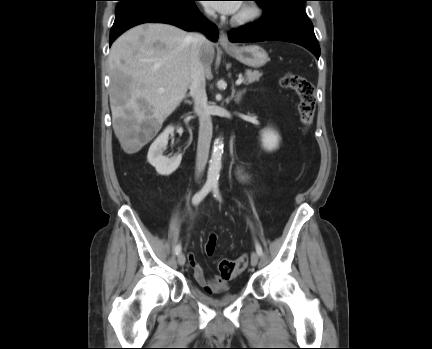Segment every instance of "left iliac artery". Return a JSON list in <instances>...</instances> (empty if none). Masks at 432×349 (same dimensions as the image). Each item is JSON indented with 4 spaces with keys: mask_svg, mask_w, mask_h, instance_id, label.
<instances>
[{
    "mask_svg": "<svg viewBox=\"0 0 432 349\" xmlns=\"http://www.w3.org/2000/svg\"><path fill=\"white\" fill-rule=\"evenodd\" d=\"M212 189H213V195H214V197H215L216 199H218V200L221 201V196H220V193H219L218 182H214V183H213V187H212ZM256 252H257V254H258L259 256H262V255H263L262 247H261V245H260L258 242H256Z\"/></svg>",
    "mask_w": 432,
    "mask_h": 349,
    "instance_id": "44dca946",
    "label": "left iliac artery"
}]
</instances>
